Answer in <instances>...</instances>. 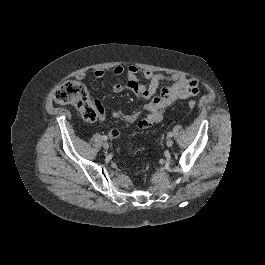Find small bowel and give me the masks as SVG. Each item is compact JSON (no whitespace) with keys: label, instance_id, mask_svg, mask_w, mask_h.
<instances>
[{"label":"small bowel","instance_id":"obj_1","mask_svg":"<svg viewBox=\"0 0 265 265\" xmlns=\"http://www.w3.org/2000/svg\"><path fill=\"white\" fill-rule=\"evenodd\" d=\"M113 73L115 76H122L125 74L127 78L125 83H115L112 87L113 92L121 93L126 89L134 92L143 102L144 112L127 114L122 109H117L111 113V116L115 119H122L128 123H137L138 127L142 129L161 121L165 109L174 104L177 100L194 97L199 92L197 80L181 74L165 77L160 74H155L150 70L140 71L135 65H129L126 68L118 65L113 69ZM140 73H142L146 83L141 82L139 78ZM105 75L106 71L103 69L94 71V77L97 79H102ZM77 78L80 80L84 79L85 74H78ZM163 79L170 80L171 84L164 85L159 89L160 81ZM96 102L100 105L98 101ZM100 107L102 109L100 120L103 121L105 116L101 105ZM142 124H145V126H142ZM110 136L112 138L118 137L119 131L117 129H112L110 131Z\"/></svg>","mask_w":265,"mask_h":265}]
</instances>
